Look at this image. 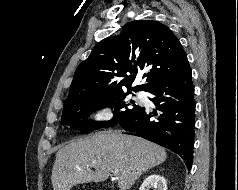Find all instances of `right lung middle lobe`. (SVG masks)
<instances>
[{"label": "right lung middle lobe", "instance_id": "right-lung-middle-lobe-1", "mask_svg": "<svg viewBox=\"0 0 238 190\" xmlns=\"http://www.w3.org/2000/svg\"><path fill=\"white\" fill-rule=\"evenodd\" d=\"M131 92H127L130 94ZM125 93L113 95L82 94L71 98L62 112V124L83 132L111 127L118 124L141 107L134 101L127 102ZM110 107L114 109L115 118L107 123H96L87 117L95 109Z\"/></svg>", "mask_w": 238, "mask_h": 190}]
</instances>
